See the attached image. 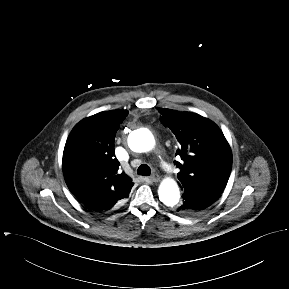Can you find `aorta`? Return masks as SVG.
Segmentation results:
<instances>
[{
  "mask_svg": "<svg viewBox=\"0 0 289 289\" xmlns=\"http://www.w3.org/2000/svg\"><path fill=\"white\" fill-rule=\"evenodd\" d=\"M128 145L134 152L150 151L155 145L152 133L147 129L133 132L128 138ZM160 201L166 206H175L180 199V191L175 180L167 178L162 181L158 189Z\"/></svg>",
  "mask_w": 289,
  "mask_h": 289,
  "instance_id": "aorta-1",
  "label": "aorta"
}]
</instances>
